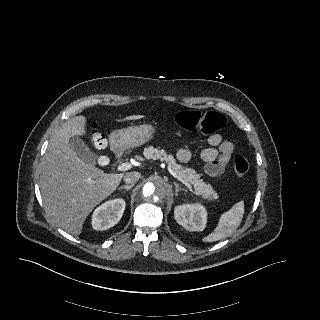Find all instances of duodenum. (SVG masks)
<instances>
[{
    "label": "duodenum",
    "mask_w": 320,
    "mask_h": 320,
    "mask_svg": "<svg viewBox=\"0 0 320 320\" xmlns=\"http://www.w3.org/2000/svg\"><path fill=\"white\" fill-rule=\"evenodd\" d=\"M114 151H115V154L118 156L121 154V152L117 146H114Z\"/></svg>",
    "instance_id": "duodenum-1"
}]
</instances>
